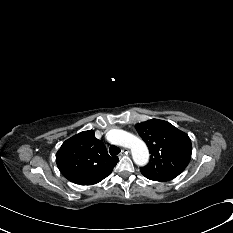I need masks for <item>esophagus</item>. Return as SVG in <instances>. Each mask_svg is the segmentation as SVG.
Wrapping results in <instances>:
<instances>
[{
  "label": "esophagus",
  "instance_id": "obj_1",
  "mask_svg": "<svg viewBox=\"0 0 233 233\" xmlns=\"http://www.w3.org/2000/svg\"><path fill=\"white\" fill-rule=\"evenodd\" d=\"M128 153H129L128 149H122V151H121V155H125V154H128Z\"/></svg>",
  "mask_w": 233,
  "mask_h": 233
}]
</instances>
